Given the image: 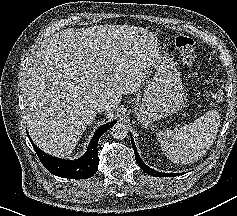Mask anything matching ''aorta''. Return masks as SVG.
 Listing matches in <instances>:
<instances>
[{
	"instance_id": "762f6f07",
	"label": "aorta",
	"mask_w": 237,
	"mask_h": 216,
	"mask_svg": "<svg viewBox=\"0 0 237 216\" xmlns=\"http://www.w3.org/2000/svg\"><path fill=\"white\" fill-rule=\"evenodd\" d=\"M128 128L127 126L122 122H117L113 125L111 128V135L116 140H123L128 135Z\"/></svg>"
}]
</instances>
